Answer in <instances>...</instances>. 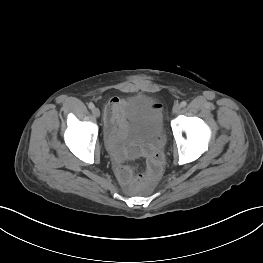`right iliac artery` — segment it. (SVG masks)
Returning a JSON list of instances; mask_svg holds the SVG:
<instances>
[{
    "label": "right iliac artery",
    "instance_id": "obj_1",
    "mask_svg": "<svg viewBox=\"0 0 263 263\" xmlns=\"http://www.w3.org/2000/svg\"><path fill=\"white\" fill-rule=\"evenodd\" d=\"M88 107H89V109L92 110V109L94 108V104H93V103H89V104H88Z\"/></svg>",
    "mask_w": 263,
    "mask_h": 263
}]
</instances>
